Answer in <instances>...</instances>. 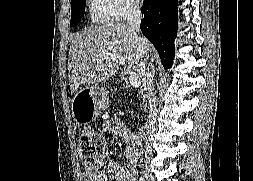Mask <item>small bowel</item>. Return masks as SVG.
<instances>
[{
  "label": "small bowel",
  "mask_w": 253,
  "mask_h": 181,
  "mask_svg": "<svg viewBox=\"0 0 253 181\" xmlns=\"http://www.w3.org/2000/svg\"><path fill=\"white\" fill-rule=\"evenodd\" d=\"M103 131L105 133H112L132 145L139 144L134 133L119 119L106 122L103 126ZM137 157L138 149L136 148L126 154V163L122 164L112 160L104 171L100 173H87L86 179L87 181H134L137 175Z\"/></svg>",
  "instance_id": "small-bowel-1"
}]
</instances>
